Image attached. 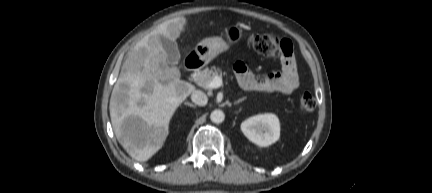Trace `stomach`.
<instances>
[{
	"mask_svg": "<svg viewBox=\"0 0 432 193\" xmlns=\"http://www.w3.org/2000/svg\"><path fill=\"white\" fill-rule=\"evenodd\" d=\"M227 42L220 37L205 38L195 47L196 55L205 63H209L220 53L226 51L231 44L242 38V29L238 24H231L226 28Z\"/></svg>",
	"mask_w": 432,
	"mask_h": 193,
	"instance_id": "0dacf381",
	"label": "stomach"
}]
</instances>
